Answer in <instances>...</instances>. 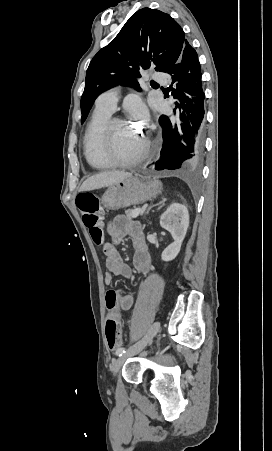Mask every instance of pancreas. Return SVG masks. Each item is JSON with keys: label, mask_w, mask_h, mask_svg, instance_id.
Masks as SVG:
<instances>
[{"label": "pancreas", "mask_w": 272, "mask_h": 451, "mask_svg": "<svg viewBox=\"0 0 272 451\" xmlns=\"http://www.w3.org/2000/svg\"><path fill=\"white\" fill-rule=\"evenodd\" d=\"M132 212H134V210H126L125 214L127 218H132Z\"/></svg>", "instance_id": "pancreas-1"}]
</instances>
